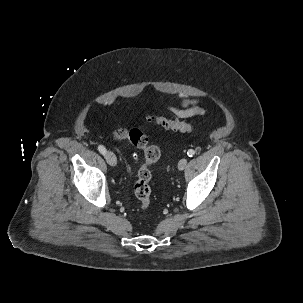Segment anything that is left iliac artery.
I'll return each mask as SVG.
<instances>
[{
	"label": "left iliac artery",
	"mask_w": 303,
	"mask_h": 303,
	"mask_svg": "<svg viewBox=\"0 0 303 303\" xmlns=\"http://www.w3.org/2000/svg\"><path fill=\"white\" fill-rule=\"evenodd\" d=\"M194 154H195V151L193 149H189L188 152H187V155L189 157H192Z\"/></svg>",
	"instance_id": "1"
}]
</instances>
